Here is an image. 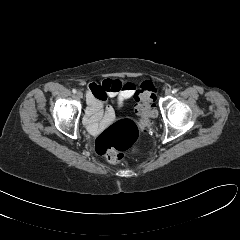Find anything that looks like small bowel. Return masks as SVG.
Wrapping results in <instances>:
<instances>
[{
  "label": "small bowel",
  "instance_id": "1",
  "mask_svg": "<svg viewBox=\"0 0 240 240\" xmlns=\"http://www.w3.org/2000/svg\"><path fill=\"white\" fill-rule=\"evenodd\" d=\"M133 83H123L117 79H105L99 83L92 82L87 89L88 107L84 116V123L92 132H98L108 125L114 118V110L107 105L109 97H116L118 105L131 98L135 93Z\"/></svg>",
  "mask_w": 240,
  "mask_h": 240
}]
</instances>
